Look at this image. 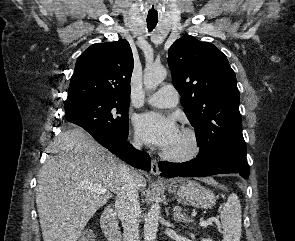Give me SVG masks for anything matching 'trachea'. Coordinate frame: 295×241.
<instances>
[{
    "label": "trachea",
    "instance_id": "obj_1",
    "mask_svg": "<svg viewBox=\"0 0 295 241\" xmlns=\"http://www.w3.org/2000/svg\"><path fill=\"white\" fill-rule=\"evenodd\" d=\"M158 21H147V26L149 31L153 30L155 28V26L157 25Z\"/></svg>",
    "mask_w": 295,
    "mask_h": 241
}]
</instances>
